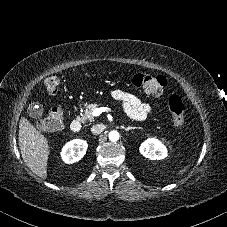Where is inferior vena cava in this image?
<instances>
[{"mask_svg":"<svg viewBox=\"0 0 227 227\" xmlns=\"http://www.w3.org/2000/svg\"><path fill=\"white\" fill-rule=\"evenodd\" d=\"M104 129H105V125H103V124H96V125L92 126L91 132L93 134H100L101 132L104 131Z\"/></svg>","mask_w":227,"mask_h":227,"instance_id":"1","label":"inferior vena cava"}]
</instances>
